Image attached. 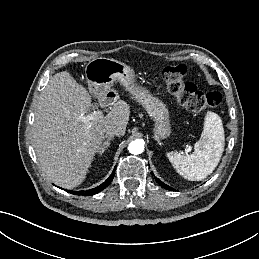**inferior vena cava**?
Wrapping results in <instances>:
<instances>
[{
    "instance_id": "obj_1",
    "label": "inferior vena cava",
    "mask_w": 259,
    "mask_h": 259,
    "mask_svg": "<svg viewBox=\"0 0 259 259\" xmlns=\"http://www.w3.org/2000/svg\"><path fill=\"white\" fill-rule=\"evenodd\" d=\"M106 137L121 136L122 132L118 128H109L106 132Z\"/></svg>"
}]
</instances>
